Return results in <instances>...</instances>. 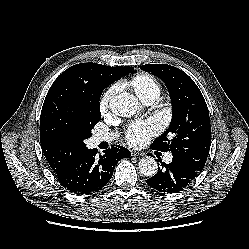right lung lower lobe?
<instances>
[{"mask_svg":"<svg viewBox=\"0 0 249 249\" xmlns=\"http://www.w3.org/2000/svg\"><path fill=\"white\" fill-rule=\"evenodd\" d=\"M103 155L96 157L94 149L86 148L63 171L56 174L59 183L77 195H90L100 191L111 179L115 165L131 153L125 147L112 145Z\"/></svg>","mask_w":249,"mask_h":249,"instance_id":"right-lung-lower-lobe-1","label":"right lung lower lobe"}]
</instances>
